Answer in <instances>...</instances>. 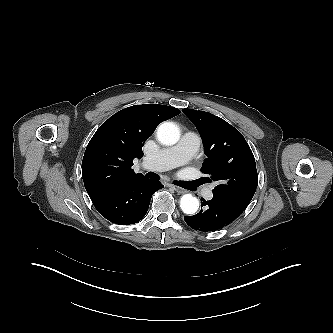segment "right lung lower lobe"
Returning <instances> with one entry per match:
<instances>
[{
    "instance_id": "1",
    "label": "right lung lower lobe",
    "mask_w": 333,
    "mask_h": 333,
    "mask_svg": "<svg viewBox=\"0 0 333 333\" xmlns=\"http://www.w3.org/2000/svg\"><path fill=\"white\" fill-rule=\"evenodd\" d=\"M161 188L163 185L159 181L144 178L92 202L107 220L119 225L135 224L145 216L152 194Z\"/></svg>"
}]
</instances>
